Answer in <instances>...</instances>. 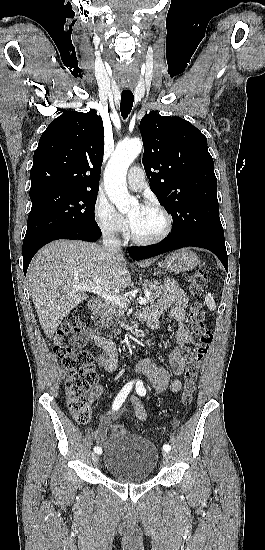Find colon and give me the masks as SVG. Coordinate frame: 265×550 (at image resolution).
I'll return each instance as SVG.
<instances>
[{
  "label": "colon",
  "mask_w": 265,
  "mask_h": 550,
  "mask_svg": "<svg viewBox=\"0 0 265 550\" xmlns=\"http://www.w3.org/2000/svg\"><path fill=\"white\" fill-rule=\"evenodd\" d=\"M188 281L190 294L197 299L207 283L206 270H197L189 277ZM188 321L191 333L196 340L183 377L181 402L186 407L192 403L197 377L213 340L212 333L204 321L202 306L198 301L192 303ZM85 330L86 323L80 317L79 312L71 311L54 336V353L61 360L67 372L65 383L67 408L80 425H87L91 420L90 406L93 399L99 394L96 388L97 374L92 354L85 350H76L64 340L70 334L82 333ZM111 434L112 436H123L126 434V428L122 424H113Z\"/></svg>",
  "instance_id": "5ec220e1"
}]
</instances>
